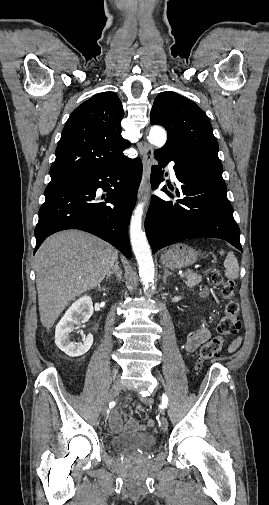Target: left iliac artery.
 Wrapping results in <instances>:
<instances>
[{
  "label": "left iliac artery",
  "mask_w": 269,
  "mask_h": 505,
  "mask_svg": "<svg viewBox=\"0 0 269 505\" xmlns=\"http://www.w3.org/2000/svg\"><path fill=\"white\" fill-rule=\"evenodd\" d=\"M168 405V397L166 394L162 395V403H161V408H166Z\"/></svg>",
  "instance_id": "44dca946"
}]
</instances>
